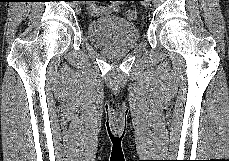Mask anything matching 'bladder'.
I'll list each match as a JSON object with an SVG mask.
<instances>
[{
    "label": "bladder",
    "mask_w": 229,
    "mask_h": 161,
    "mask_svg": "<svg viewBox=\"0 0 229 161\" xmlns=\"http://www.w3.org/2000/svg\"><path fill=\"white\" fill-rule=\"evenodd\" d=\"M89 40L105 49L130 47L139 39L138 27L118 16H103L92 20L87 25Z\"/></svg>",
    "instance_id": "bladder-1"
}]
</instances>
